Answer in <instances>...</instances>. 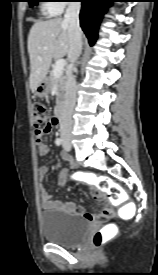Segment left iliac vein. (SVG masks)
I'll return each mask as SVG.
<instances>
[{
  "label": "left iliac vein",
  "mask_w": 158,
  "mask_h": 275,
  "mask_svg": "<svg viewBox=\"0 0 158 275\" xmlns=\"http://www.w3.org/2000/svg\"><path fill=\"white\" fill-rule=\"evenodd\" d=\"M63 148H64V150H65L66 152L70 151V146L67 145L65 142H64V144H63Z\"/></svg>",
  "instance_id": "left-iliac-vein-1"
}]
</instances>
